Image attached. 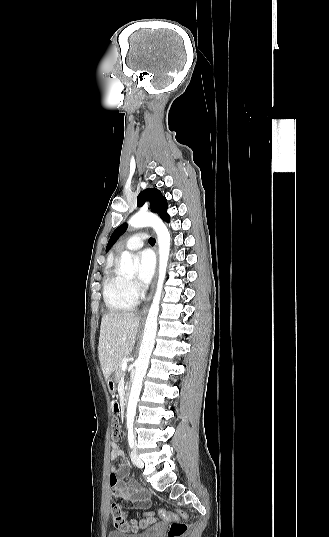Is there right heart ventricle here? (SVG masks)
Instances as JSON below:
<instances>
[{
  "mask_svg": "<svg viewBox=\"0 0 329 537\" xmlns=\"http://www.w3.org/2000/svg\"><path fill=\"white\" fill-rule=\"evenodd\" d=\"M126 282L113 263L107 264L103 279V296L112 313L124 312L136 305V299L129 293Z\"/></svg>",
  "mask_w": 329,
  "mask_h": 537,
  "instance_id": "obj_1",
  "label": "right heart ventricle"
}]
</instances>
